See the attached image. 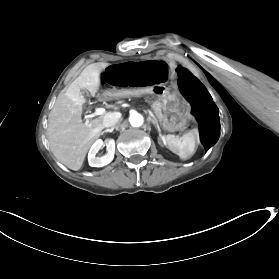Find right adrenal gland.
Wrapping results in <instances>:
<instances>
[{"label":"right adrenal gland","mask_w":279,"mask_h":279,"mask_svg":"<svg viewBox=\"0 0 279 279\" xmlns=\"http://www.w3.org/2000/svg\"><path fill=\"white\" fill-rule=\"evenodd\" d=\"M114 130V127H112L111 129H106V130H104L103 132H102V135L104 134V133H106V132H112Z\"/></svg>","instance_id":"right-adrenal-gland-1"}]
</instances>
